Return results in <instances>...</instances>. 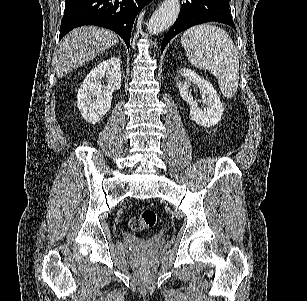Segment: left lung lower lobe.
I'll list each match as a JSON object with an SVG mask.
<instances>
[{
  "label": "left lung lower lobe",
  "instance_id": "left-lung-lower-lobe-1",
  "mask_svg": "<svg viewBox=\"0 0 307 301\" xmlns=\"http://www.w3.org/2000/svg\"><path fill=\"white\" fill-rule=\"evenodd\" d=\"M230 0H186L183 2L178 19L164 36L161 51L178 33L201 23L216 21L232 26L234 22L229 10Z\"/></svg>",
  "mask_w": 307,
  "mask_h": 301
}]
</instances>
